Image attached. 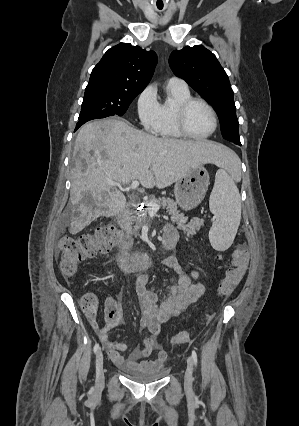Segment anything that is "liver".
I'll use <instances>...</instances> for the list:
<instances>
[{"label": "liver", "instance_id": "liver-1", "mask_svg": "<svg viewBox=\"0 0 299 426\" xmlns=\"http://www.w3.org/2000/svg\"><path fill=\"white\" fill-rule=\"evenodd\" d=\"M236 158L226 146L207 140L158 138L120 119L81 127L73 150L70 232L76 234L99 217L121 213L124 194L109 182L139 180L145 188H165L202 164L226 166Z\"/></svg>", "mask_w": 299, "mask_h": 426}]
</instances>
